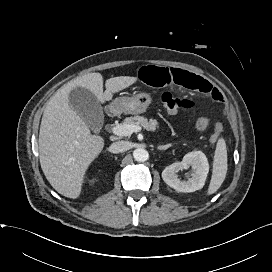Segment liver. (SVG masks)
<instances>
[{
    "mask_svg": "<svg viewBox=\"0 0 272 272\" xmlns=\"http://www.w3.org/2000/svg\"><path fill=\"white\" fill-rule=\"evenodd\" d=\"M136 81V77H113L106 80L103 92L102 75L89 73L70 81L50 99L40 125L39 158L46 179L58 193L78 198L89 165L104 147V139L92 135L86 122L70 107L71 90L86 88L104 103Z\"/></svg>",
    "mask_w": 272,
    "mask_h": 272,
    "instance_id": "obj_1",
    "label": "liver"
}]
</instances>
